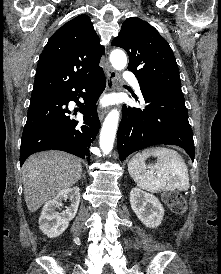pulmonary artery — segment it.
Here are the masks:
<instances>
[{"instance_id":"e3ab8cb5","label":"pulmonary artery","mask_w":221,"mask_h":274,"mask_svg":"<svg viewBox=\"0 0 221 274\" xmlns=\"http://www.w3.org/2000/svg\"><path fill=\"white\" fill-rule=\"evenodd\" d=\"M123 77L125 80L131 82L133 84V86L138 90L140 91V87H139V83L135 77V75L130 72V71H125L124 74H123Z\"/></svg>"}]
</instances>
